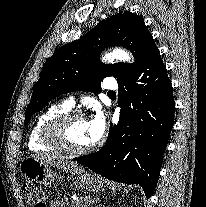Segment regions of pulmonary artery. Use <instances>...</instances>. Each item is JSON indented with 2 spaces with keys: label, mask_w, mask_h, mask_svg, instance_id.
Here are the masks:
<instances>
[{
  "label": "pulmonary artery",
  "mask_w": 206,
  "mask_h": 207,
  "mask_svg": "<svg viewBox=\"0 0 206 207\" xmlns=\"http://www.w3.org/2000/svg\"><path fill=\"white\" fill-rule=\"evenodd\" d=\"M105 84V87L111 90H115L117 88V84L112 80ZM69 107H72L75 103L74 97L70 96L67 101L65 102Z\"/></svg>",
  "instance_id": "1"
}]
</instances>
